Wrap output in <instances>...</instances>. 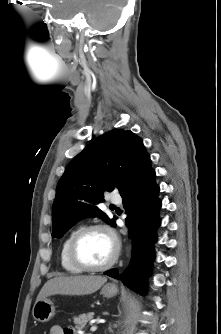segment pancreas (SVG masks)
<instances>
[{
	"label": "pancreas",
	"mask_w": 221,
	"mask_h": 334,
	"mask_svg": "<svg viewBox=\"0 0 221 334\" xmlns=\"http://www.w3.org/2000/svg\"><path fill=\"white\" fill-rule=\"evenodd\" d=\"M94 316V313L81 314L78 317L73 318V322L76 325L77 329H83L85 325L90 321Z\"/></svg>",
	"instance_id": "cf45deb5"
}]
</instances>
